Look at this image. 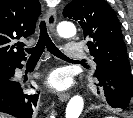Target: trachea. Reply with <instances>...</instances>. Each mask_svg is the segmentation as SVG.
I'll return each instance as SVG.
<instances>
[{"mask_svg":"<svg viewBox=\"0 0 133 118\" xmlns=\"http://www.w3.org/2000/svg\"><path fill=\"white\" fill-rule=\"evenodd\" d=\"M45 48H47V50L52 55L60 59L70 60L52 42V40L48 35L46 24L44 21H42L40 23V36H39L37 45L33 48L26 49V52L30 54V58H29L30 60H38L41 57L42 53L44 52ZM81 63H84V61H82Z\"/></svg>","mask_w":133,"mask_h":118,"instance_id":"3493384b","label":"trachea"}]
</instances>
